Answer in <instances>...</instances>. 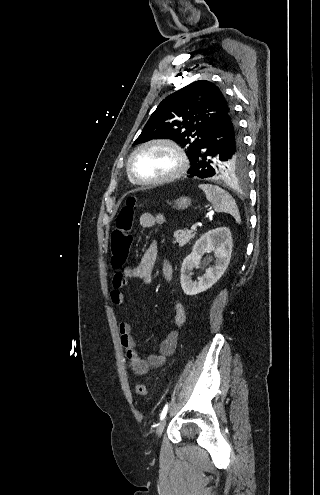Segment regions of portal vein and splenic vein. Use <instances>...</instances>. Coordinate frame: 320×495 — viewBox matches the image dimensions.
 <instances>
[{
	"instance_id": "18ae733b",
	"label": "portal vein and splenic vein",
	"mask_w": 320,
	"mask_h": 495,
	"mask_svg": "<svg viewBox=\"0 0 320 495\" xmlns=\"http://www.w3.org/2000/svg\"><path fill=\"white\" fill-rule=\"evenodd\" d=\"M196 229H197V225H196V224L192 225V227H191V231H194V230H196Z\"/></svg>"
}]
</instances>
